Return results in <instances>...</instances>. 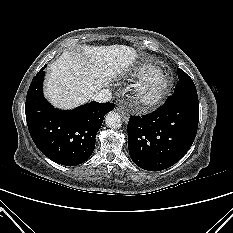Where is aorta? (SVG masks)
<instances>
[{
    "label": "aorta",
    "instance_id": "1",
    "mask_svg": "<svg viewBox=\"0 0 233 233\" xmlns=\"http://www.w3.org/2000/svg\"><path fill=\"white\" fill-rule=\"evenodd\" d=\"M105 123L111 129L120 128L122 125L121 117L118 113L111 111L105 116Z\"/></svg>",
    "mask_w": 233,
    "mask_h": 233
}]
</instances>
